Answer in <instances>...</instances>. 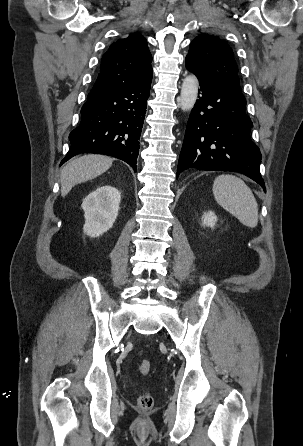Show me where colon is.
Returning a JSON list of instances; mask_svg holds the SVG:
<instances>
[{"label":"colon","mask_w":303,"mask_h":446,"mask_svg":"<svg viewBox=\"0 0 303 446\" xmlns=\"http://www.w3.org/2000/svg\"><path fill=\"white\" fill-rule=\"evenodd\" d=\"M138 369L141 374L147 375L151 370L150 361L146 360V359L141 360L139 363ZM138 404H139L140 408H142L143 410H149L152 408V406L154 404V399L150 394L145 393L139 397Z\"/></svg>","instance_id":"colon-1"}]
</instances>
